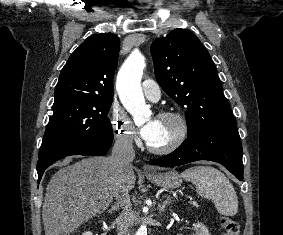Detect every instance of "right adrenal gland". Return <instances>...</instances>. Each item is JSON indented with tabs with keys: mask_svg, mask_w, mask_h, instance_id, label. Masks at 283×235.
<instances>
[{
	"mask_svg": "<svg viewBox=\"0 0 283 235\" xmlns=\"http://www.w3.org/2000/svg\"><path fill=\"white\" fill-rule=\"evenodd\" d=\"M120 206H121L120 202H116L113 206H111L110 212L118 210Z\"/></svg>",
	"mask_w": 283,
	"mask_h": 235,
	"instance_id": "obj_1",
	"label": "right adrenal gland"
}]
</instances>
